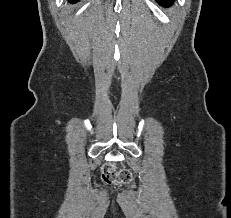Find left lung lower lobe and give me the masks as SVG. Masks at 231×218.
<instances>
[{"label":"left lung lower lobe","instance_id":"1","mask_svg":"<svg viewBox=\"0 0 231 218\" xmlns=\"http://www.w3.org/2000/svg\"><path fill=\"white\" fill-rule=\"evenodd\" d=\"M160 3V5H164V6H170L174 0H156Z\"/></svg>","mask_w":231,"mask_h":218}]
</instances>
